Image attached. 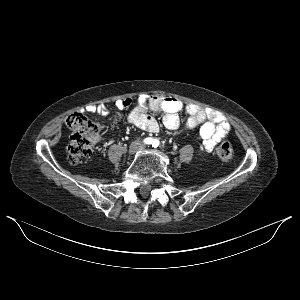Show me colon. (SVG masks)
I'll return each mask as SVG.
<instances>
[{
	"instance_id": "obj_1",
	"label": "colon",
	"mask_w": 300,
	"mask_h": 300,
	"mask_svg": "<svg viewBox=\"0 0 300 300\" xmlns=\"http://www.w3.org/2000/svg\"><path fill=\"white\" fill-rule=\"evenodd\" d=\"M130 100L123 101V106L128 107ZM66 125L71 130L67 146V157L70 164H78L82 158L90 156L98 135V126L83 114L75 112L66 118ZM233 154L229 142H222L217 148V155L221 160L228 161Z\"/></svg>"
}]
</instances>
